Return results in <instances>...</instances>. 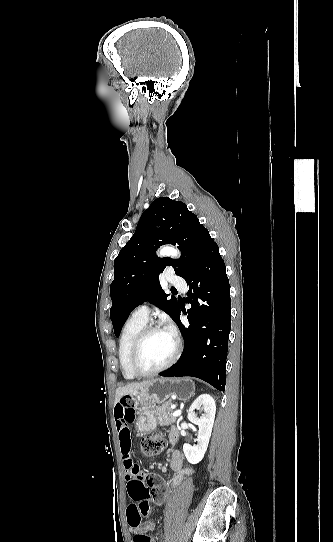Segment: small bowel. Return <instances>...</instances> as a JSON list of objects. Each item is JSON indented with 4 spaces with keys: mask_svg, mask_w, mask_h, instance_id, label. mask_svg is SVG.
<instances>
[{
    "mask_svg": "<svg viewBox=\"0 0 333 542\" xmlns=\"http://www.w3.org/2000/svg\"><path fill=\"white\" fill-rule=\"evenodd\" d=\"M133 407L134 404L132 400H120L114 408L116 435L119 451L122 455L124 464L130 468L132 465L130 459V452L132 447L130 424L133 422L135 416V411ZM174 434H179L178 430L175 427L171 428L169 432L170 440ZM182 463L183 459L181 453L179 451H174L170 461V469L176 472V475L173 479L174 488H178L187 476L193 474V470L191 468H183ZM127 479L131 484V481L134 479V476L132 475V469L128 471ZM136 516L137 508L135 505H131L128 509V524L133 532L146 533L153 529L154 525L152 522H147L144 525H141L140 522H135Z\"/></svg>",
    "mask_w": 333,
    "mask_h": 542,
    "instance_id": "1",
    "label": "small bowel"
}]
</instances>
